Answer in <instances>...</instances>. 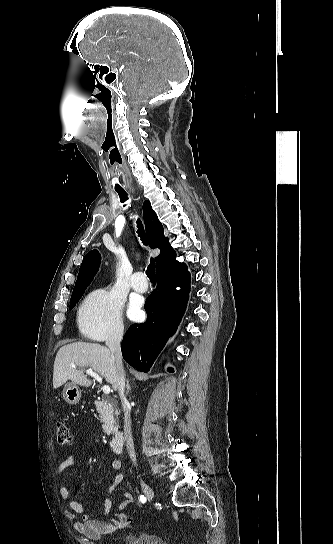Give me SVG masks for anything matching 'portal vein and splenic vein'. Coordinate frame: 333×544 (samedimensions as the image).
<instances>
[{
  "label": "portal vein and splenic vein",
  "mask_w": 333,
  "mask_h": 544,
  "mask_svg": "<svg viewBox=\"0 0 333 544\" xmlns=\"http://www.w3.org/2000/svg\"><path fill=\"white\" fill-rule=\"evenodd\" d=\"M72 367L76 368V365L74 363L71 364ZM86 374L92 376L94 379H96L99 383H102V378L94 372L91 368L86 370ZM102 390L105 394H109L111 392V389L108 385H103Z\"/></svg>",
  "instance_id": "18ae733b"
}]
</instances>
